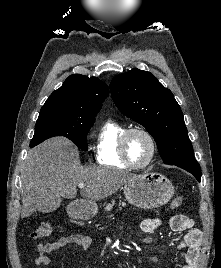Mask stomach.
<instances>
[{"instance_id": "1", "label": "stomach", "mask_w": 221, "mask_h": 268, "mask_svg": "<svg viewBox=\"0 0 221 268\" xmlns=\"http://www.w3.org/2000/svg\"><path fill=\"white\" fill-rule=\"evenodd\" d=\"M124 195L126 200L142 209H154L160 207L174 195V186L164 175L147 172L134 175L124 184ZM98 212V206L94 201L80 200L68 207V214L79 220L93 218Z\"/></svg>"}]
</instances>
